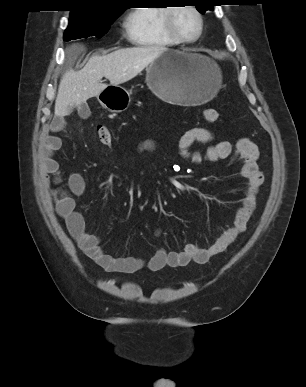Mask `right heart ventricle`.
I'll return each mask as SVG.
<instances>
[{"label": "right heart ventricle", "mask_w": 306, "mask_h": 387, "mask_svg": "<svg viewBox=\"0 0 306 387\" xmlns=\"http://www.w3.org/2000/svg\"><path fill=\"white\" fill-rule=\"evenodd\" d=\"M167 6L140 7L129 12L124 21L128 41L140 47L165 48L178 44L166 32Z\"/></svg>", "instance_id": "1"}]
</instances>
